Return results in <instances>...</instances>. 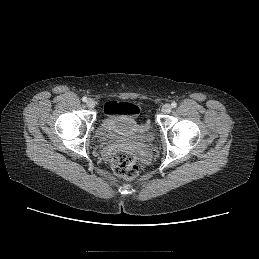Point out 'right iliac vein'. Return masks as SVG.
<instances>
[{
    "label": "right iliac vein",
    "mask_w": 259,
    "mask_h": 259,
    "mask_svg": "<svg viewBox=\"0 0 259 259\" xmlns=\"http://www.w3.org/2000/svg\"><path fill=\"white\" fill-rule=\"evenodd\" d=\"M86 105L88 108L93 109L95 107V101L93 99H88Z\"/></svg>",
    "instance_id": "63e3f726"
}]
</instances>
